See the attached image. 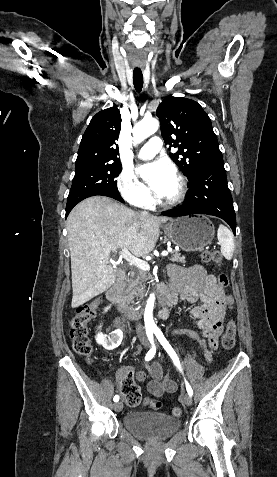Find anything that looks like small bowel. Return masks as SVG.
Wrapping results in <instances>:
<instances>
[{
  "mask_svg": "<svg viewBox=\"0 0 277 477\" xmlns=\"http://www.w3.org/2000/svg\"><path fill=\"white\" fill-rule=\"evenodd\" d=\"M168 273L171 277V288L176 298L194 303L201 301V305L196 306L191 311V318L196 329L177 330L176 333H183L189 336L204 352L207 361H211L210 349L216 348L218 339L224 331L225 300L227 293L214 275L207 274L200 265L183 268L177 265H170ZM163 317L166 314H162ZM140 352V347L136 348L135 354ZM150 380L147 382V390L154 397H160L164 393H174L177 384L168 374H164L161 365L154 361L146 365ZM123 382L136 380L143 382L146 380V373L138 371L133 374L130 367L122 369ZM150 399L142 400L143 405H149Z\"/></svg>",
  "mask_w": 277,
  "mask_h": 477,
  "instance_id": "1",
  "label": "small bowel"
}]
</instances>
